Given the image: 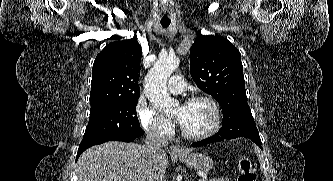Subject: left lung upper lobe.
I'll return each instance as SVG.
<instances>
[{"label": "left lung upper lobe", "instance_id": "5c2ea615", "mask_svg": "<svg viewBox=\"0 0 333 181\" xmlns=\"http://www.w3.org/2000/svg\"><path fill=\"white\" fill-rule=\"evenodd\" d=\"M190 72L195 84L219 102L223 121L232 122L227 132L261 141L246 99L240 52L231 42L199 32L190 50Z\"/></svg>", "mask_w": 333, "mask_h": 181}]
</instances>
